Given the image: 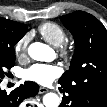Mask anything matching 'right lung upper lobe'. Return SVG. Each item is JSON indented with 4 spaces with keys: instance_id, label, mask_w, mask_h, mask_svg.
<instances>
[{
    "instance_id": "1",
    "label": "right lung upper lobe",
    "mask_w": 107,
    "mask_h": 107,
    "mask_svg": "<svg viewBox=\"0 0 107 107\" xmlns=\"http://www.w3.org/2000/svg\"><path fill=\"white\" fill-rule=\"evenodd\" d=\"M14 23L20 26L25 25L15 21L0 18V47L10 46L17 39V35L13 30Z\"/></svg>"
}]
</instances>
